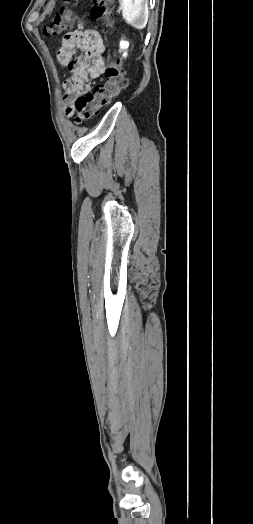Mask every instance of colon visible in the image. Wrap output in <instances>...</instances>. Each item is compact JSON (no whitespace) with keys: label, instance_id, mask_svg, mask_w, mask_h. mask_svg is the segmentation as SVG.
Returning <instances> with one entry per match:
<instances>
[{"label":"colon","instance_id":"1","mask_svg":"<svg viewBox=\"0 0 253 524\" xmlns=\"http://www.w3.org/2000/svg\"><path fill=\"white\" fill-rule=\"evenodd\" d=\"M113 4L114 0H93L90 10L91 19L101 20L108 27ZM73 22L74 1L67 0L52 21L43 28V34L47 39L60 36L72 27ZM104 74L107 78L105 85L97 87L92 94L79 97L74 108L67 109V114L73 117L76 124H82L91 119L99 107L107 104L128 86V79L119 60L108 59Z\"/></svg>","mask_w":253,"mask_h":524}]
</instances>
